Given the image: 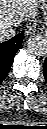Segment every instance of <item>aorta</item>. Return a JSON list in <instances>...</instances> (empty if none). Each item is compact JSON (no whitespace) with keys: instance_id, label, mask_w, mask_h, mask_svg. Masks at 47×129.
Here are the masks:
<instances>
[{"instance_id":"762f6f07","label":"aorta","mask_w":47,"mask_h":129,"mask_svg":"<svg viewBox=\"0 0 47 129\" xmlns=\"http://www.w3.org/2000/svg\"><path fill=\"white\" fill-rule=\"evenodd\" d=\"M28 51L36 56H45L47 54V40L41 35H34L27 41Z\"/></svg>"}]
</instances>
